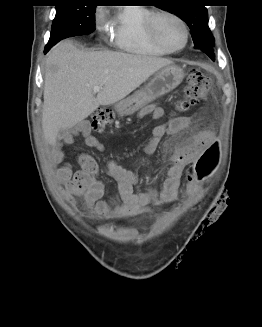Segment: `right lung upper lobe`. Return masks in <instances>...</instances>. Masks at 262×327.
Returning <instances> with one entry per match:
<instances>
[{
  "instance_id": "right-lung-upper-lobe-1",
  "label": "right lung upper lobe",
  "mask_w": 262,
  "mask_h": 327,
  "mask_svg": "<svg viewBox=\"0 0 262 327\" xmlns=\"http://www.w3.org/2000/svg\"><path fill=\"white\" fill-rule=\"evenodd\" d=\"M59 2L78 1V0H57Z\"/></svg>"
}]
</instances>
